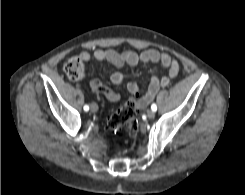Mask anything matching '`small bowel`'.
Segmentation results:
<instances>
[{
    "instance_id": "c3829d8e",
    "label": "small bowel",
    "mask_w": 245,
    "mask_h": 195,
    "mask_svg": "<svg viewBox=\"0 0 245 195\" xmlns=\"http://www.w3.org/2000/svg\"><path fill=\"white\" fill-rule=\"evenodd\" d=\"M81 61H90L95 59L98 62H108L118 68L125 65L134 66L139 62L142 63H154L160 64L168 69L169 76L154 75L151 78L150 84L145 95L140 99L141 105L149 104L159 91L161 87L169 85L170 80L175 78L180 70L179 63L173 59L168 53L160 52L156 49H147L140 53L135 51L117 52L113 49H95L92 51H82L79 54ZM111 82L115 85H122L124 83V76L120 72H114L111 77ZM91 89L94 92L102 93L110 101H119L120 95L113 92L110 88L102 84L101 81L94 79L90 83ZM128 92L132 95L138 96L139 86L135 82H129L126 84Z\"/></svg>"
}]
</instances>
